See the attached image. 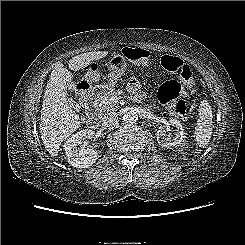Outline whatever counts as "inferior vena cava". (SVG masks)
Instances as JSON below:
<instances>
[{
    "label": "inferior vena cava",
    "mask_w": 245,
    "mask_h": 245,
    "mask_svg": "<svg viewBox=\"0 0 245 245\" xmlns=\"http://www.w3.org/2000/svg\"><path fill=\"white\" fill-rule=\"evenodd\" d=\"M118 122V114L116 112L108 113L102 119V125L105 127L114 126Z\"/></svg>",
    "instance_id": "obj_1"
}]
</instances>
